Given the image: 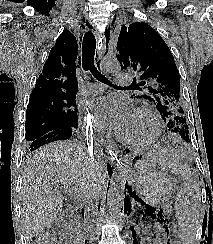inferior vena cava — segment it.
<instances>
[{
    "label": "inferior vena cava",
    "instance_id": "1",
    "mask_svg": "<svg viewBox=\"0 0 213 244\" xmlns=\"http://www.w3.org/2000/svg\"><path fill=\"white\" fill-rule=\"evenodd\" d=\"M89 155L93 156L94 152L93 150L88 149ZM91 160L93 159L92 157L90 158ZM97 202V198L92 196V197H87L85 199V202L83 204V207L85 208V213L88 216V220L91 222L90 216L94 215V205Z\"/></svg>",
    "mask_w": 213,
    "mask_h": 244
}]
</instances>
